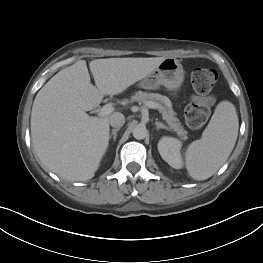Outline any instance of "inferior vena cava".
Instances as JSON below:
<instances>
[{"mask_svg": "<svg viewBox=\"0 0 263 263\" xmlns=\"http://www.w3.org/2000/svg\"><path fill=\"white\" fill-rule=\"evenodd\" d=\"M109 123L112 127L120 128L125 123V117L120 112H115L109 117Z\"/></svg>", "mask_w": 263, "mask_h": 263, "instance_id": "602c4592", "label": "inferior vena cava"}]
</instances>
